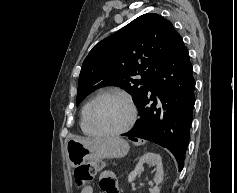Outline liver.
<instances>
[{
	"instance_id": "6515ba94",
	"label": "liver",
	"mask_w": 237,
	"mask_h": 193,
	"mask_svg": "<svg viewBox=\"0 0 237 193\" xmlns=\"http://www.w3.org/2000/svg\"><path fill=\"white\" fill-rule=\"evenodd\" d=\"M75 140H78L82 143H90V142H94V141H99V140H91V139H88V138H74Z\"/></svg>"
}]
</instances>
